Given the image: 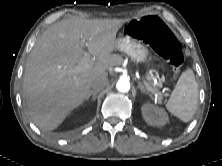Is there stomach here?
<instances>
[{"instance_id":"0dacf381","label":"stomach","mask_w":222,"mask_h":166,"mask_svg":"<svg viewBox=\"0 0 222 166\" xmlns=\"http://www.w3.org/2000/svg\"><path fill=\"white\" fill-rule=\"evenodd\" d=\"M117 48L131 57L133 61L145 62L148 58V48L136 38L126 35L117 40Z\"/></svg>"}]
</instances>
